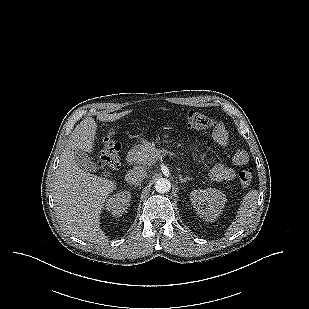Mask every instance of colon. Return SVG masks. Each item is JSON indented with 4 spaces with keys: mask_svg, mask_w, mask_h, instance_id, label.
I'll return each mask as SVG.
<instances>
[{
    "mask_svg": "<svg viewBox=\"0 0 309 309\" xmlns=\"http://www.w3.org/2000/svg\"><path fill=\"white\" fill-rule=\"evenodd\" d=\"M184 119L187 125L191 128L199 130H209L216 128V123L206 115L195 111L189 110L185 112ZM112 132L109 133L103 140V150L98 162L100 169L104 172L111 170H116L120 167L119 159V146L112 139ZM254 175L253 165L250 164L249 167L239 173V181L243 185H248Z\"/></svg>",
    "mask_w": 309,
    "mask_h": 309,
    "instance_id": "obj_1",
    "label": "colon"
}]
</instances>
